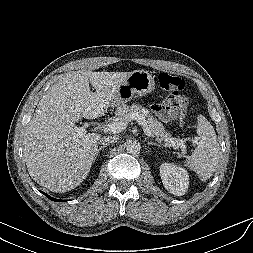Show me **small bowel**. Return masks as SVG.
Wrapping results in <instances>:
<instances>
[{
  "instance_id": "obj_1",
  "label": "small bowel",
  "mask_w": 253,
  "mask_h": 253,
  "mask_svg": "<svg viewBox=\"0 0 253 253\" xmlns=\"http://www.w3.org/2000/svg\"><path fill=\"white\" fill-rule=\"evenodd\" d=\"M151 110L165 122L175 118L179 112L173 105V98H167L163 103L153 105Z\"/></svg>"
}]
</instances>
